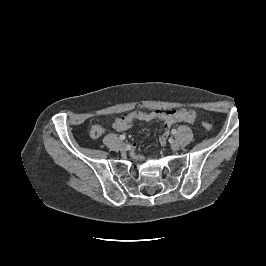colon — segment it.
Instances as JSON below:
<instances>
[{"mask_svg": "<svg viewBox=\"0 0 266 266\" xmlns=\"http://www.w3.org/2000/svg\"><path fill=\"white\" fill-rule=\"evenodd\" d=\"M202 126L205 130H210L212 128V125L208 122H203Z\"/></svg>", "mask_w": 266, "mask_h": 266, "instance_id": "obj_1", "label": "colon"}]
</instances>
